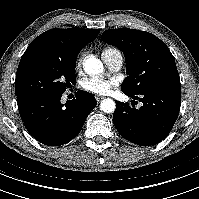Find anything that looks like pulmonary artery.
Returning a JSON list of instances; mask_svg holds the SVG:
<instances>
[{
    "label": "pulmonary artery",
    "mask_w": 199,
    "mask_h": 199,
    "mask_svg": "<svg viewBox=\"0 0 199 199\" xmlns=\"http://www.w3.org/2000/svg\"><path fill=\"white\" fill-rule=\"evenodd\" d=\"M103 59L111 71H119L124 63V57L118 50H112L103 54Z\"/></svg>",
    "instance_id": "e3ab8cb5"
}]
</instances>
